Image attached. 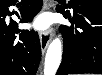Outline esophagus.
Instances as JSON below:
<instances>
[{"mask_svg": "<svg viewBox=\"0 0 102 75\" xmlns=\"http://www.w3.org/2000/svg\"><path fill=\"white\" fill-rule=\"evenodd\" d=\"M44 8H48V4L45 3ZM52 37V30L48 31H41L39 33V38H40V45H41V51L44 53L49 45V42Z\"/></svg>", "mask_w": 102, "mask_h": 75, "instance_id": "esophagus-1", "label": "esophagus"}]
</instances>
